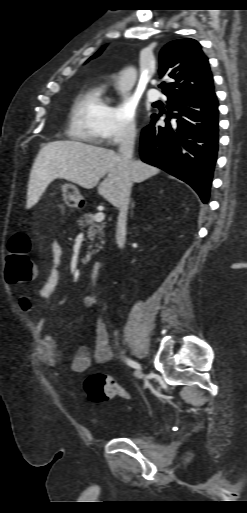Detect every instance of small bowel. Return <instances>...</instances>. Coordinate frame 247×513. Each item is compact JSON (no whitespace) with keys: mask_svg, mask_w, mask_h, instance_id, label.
Here are the masks:
<instances>
[{"mask_svg":"<svg viewBox=\"0 0 247 513\" xmlns=\"http://www.w3.org/2000/svg\"><path fill=\"white\" fill-rule=\"evenodd\" d=\"M52 253V269L39 287V295L41 297H50L60 285V266L63 258V248L59 241H53L51 244ZM35 270V278L37 277ZM96 304V297L88 295L83 298L82 305L89 309ZM20 305L27 310L31 309V300L22 295ZM37 331L40 334V343L38 348V357L40 362L50 368H56L59 364V353L52 334L49 332V322L45 318H40L36 324ZM108 328L104 320L99 319L95 329V343L93 348L87 345L81 346L70 362V369L76 373L86 372L92 362L105 364L112 360L113 353L108 342Z\"/></svg>","mask_w":247,"mask_h":513,"instance_id":"c3829d8e","label":"small bowel"}]
</instances>
